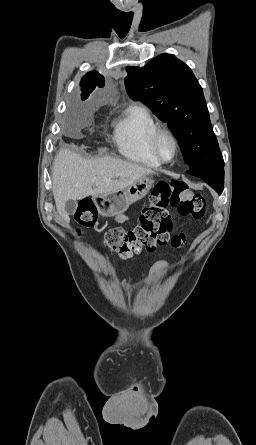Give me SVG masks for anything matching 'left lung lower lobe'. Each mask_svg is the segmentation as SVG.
Here are the masks:
<instances>
[{
  "mask_svg": "<svg viewBox=\"0 0 256 445\" xmlns=\"http://www.w3.org/2000/svg\"><path fill=\"white\" fill-rule=\"evenodd\" d=\"M188 174L206 181L219 195L224 188V167H204L188 170Z\"/></svg>",
  "mask_w": 256,
  "mask_h": 445,
  "instance_id": "1",
  "label": "left lung lower lobe"
}]
</instances>
